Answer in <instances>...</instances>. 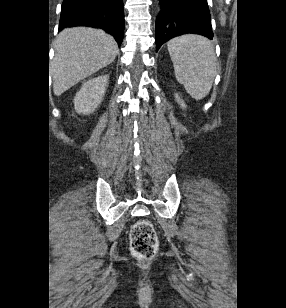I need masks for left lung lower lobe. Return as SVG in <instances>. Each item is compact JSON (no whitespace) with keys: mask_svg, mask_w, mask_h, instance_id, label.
<instances>
[{"mask_svg":"<svg viewBox=\"0 0 286 308\" xmlns=\"http://www.w3.org/2000/svg\"><path fill=\"white\" fill-rule=\"evenodd\" d=\"M156 20V51L163 43L181 34L194 33L213 38L207 0H159Z\"/></svg>","mask_w":286,"mask_h":308,"instance_id":"1","label":"left lung lower lobe"}]
</instances>
